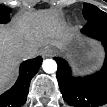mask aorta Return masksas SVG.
<instances>
[{"label": "aorta", "instance_id": "1", "mask_svg": "<svg viewBox=\"0 0 107 107\" xmlns=\"http://www.w3.org/2000/svg\"><path fill=\"white\" fill-rule=\"evenodd\" d=\"M42 68L44 72L48 74L55 73L57 71V63L53 59H46L42 63Z\"/></svg>", "mask_w": 107, "mask_h": 107}]
</instances>
